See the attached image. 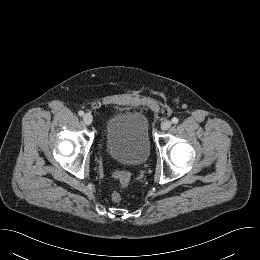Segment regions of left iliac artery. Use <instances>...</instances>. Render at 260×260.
<instances>
[{"instance_id": "1", "label": "left iliac artery", "mask_w": 260, "mask_h": 260, "mask_svg": "<svg viewBox=\"0 0 260 260\" xmlns=\"http://www.w3.org/2000/svg\"><path fill=\"white\" fill-rule=\"evenodd\" d=\"M171 121L173 124H177L179 122V119L174 117Z\"/></svg>"}]
</instances>
